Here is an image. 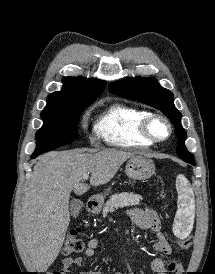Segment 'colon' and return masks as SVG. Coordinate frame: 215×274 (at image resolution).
I'll return each instance as SVG.
<instances>
[{
    "label": "colon",
    "instance_id": "1",
    "mask_svg": "<svg viewBox=\"0 0 215 274\" xmlns=\"http://www.w3.org/2000/svg\"><path fill=\"white\" fill-rule=\"evenodd\" d=\"M191 242L188 239H183L179 241V246L182 249H188ZM83 250V241L79 237V231L72 229L67 233L62 253L66 256L81 252ZM51 274H64L63 270L52 272Z\"/></svg>",
    "mask_w": 215,
    "mask_h": 274
}]
</instances>
